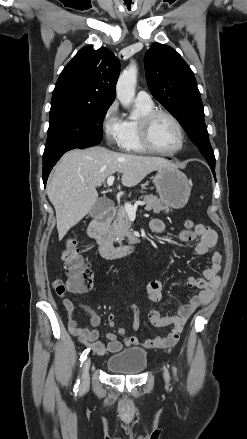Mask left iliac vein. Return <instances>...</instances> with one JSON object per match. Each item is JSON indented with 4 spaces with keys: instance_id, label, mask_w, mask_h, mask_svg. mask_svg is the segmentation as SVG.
Returning <instances> with one entry per match:
<instances>
[{
    "instance_id": "left-iliac-vein-1",
    "label": "left iliac vein",
    "mask_w": 247,
    "mask_h": 439,
    "mask_svg": "<svg viewBox=\"0 0 247 439\" xmlns=\"http://www.w3.org/2000/svg\"><path fill=\"white\" fill-rule=\"evenodd\" d=\"M163 376H164V380H165L166 384H168L169 380H170V376H169V372L167 369L164 370Z\"/></svg>"
}]
</instances>
